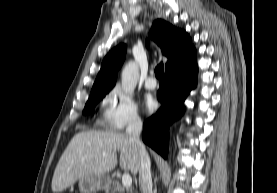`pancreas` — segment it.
Instances as JSON below:
<instances>
[{"instance_id": "cf45deb5", "label": "pancreas", "mask_w": 277, "mask_h": 193, "mask_svg": "<svg viewBox=\"0 0 277 193\" xmlns=\"http://www.w3.org/2000/svg\"><path fill=\"white\" fill-rule=\"evenodd\" d=\"M111 193L118 191L119 193H136L132 188H126L118 180L112 182V187L110 189Z\"/></svg>"}]
</instances>
